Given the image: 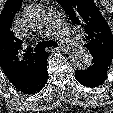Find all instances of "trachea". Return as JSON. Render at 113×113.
Masks as SVG:
<instances>
[{
	"instance_id": "1",
	"label": "trachea",
	"mask_w": 113,
	"mask_h": 113,
	"mask_svg": "<svg viewBox=\"0 0 113 113\" xmlns=\"http://www.w3.org/2000/svg\"><path fill=\"white\" fill-rule=\"evenodd\" d=\"M46 47H58V43L53 41V40H49V41H41L39 42L36 47L34 48L35 51H40L45 49Z\"/></svg>"
}]
</instances>
